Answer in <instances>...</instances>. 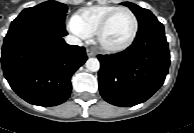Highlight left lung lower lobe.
Listing matches in <instances>:
<instances>
[{
	"label": "left lung lower lobe",
	"instance_id": "0a47b994",
	"mask_svg": "<svg viewBox=\"0 0 194 133\" xmlns=\"http://www.w3.org/2000/svg\"><path fill=\"white\" fill-rule=\"evenodd\" d=\"M99 91L118 107L147 101L163 85L170 66V51L160 22L138 29L133 43L115 54H99Z\"/></svg>",
	"mask_w": 194,
	"mask_h": 133
}]
</instances>
